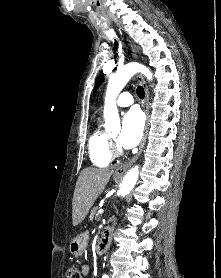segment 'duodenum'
<instances>
[{"instance_id":"duodenum-1","label":"duodenum","mask_w":221,"mask_h":278,"mask_svg":"<svg viewBox=\"0 0 221 278\" xmlns=\"http://www.w3.org/2000/svg\"><path fill=\"white\" fill-rule=\"evenodd\" d=\"M113 234V225L108 223L105 225L102 235L96 245L95 252L96 254H104L110 246L111 238Z\"/></svg>"}]
</instances>
